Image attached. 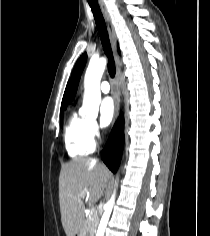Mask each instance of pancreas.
Listing matches in <instances>:
<instances>
[{"label": "pancreas", "mask_w": 210, "mask_h": 236, "mask_svg": "<svg viewBox=\"0 0 210 236\" xmlns=\"http://www.w3.org/2000/svg\"><path fill=\"white\" fill-rule=\"evenodd\" d=\"M97 224H98L97 218L88 217L84 222V228H83V233L85 234V236H93L97 228Z\"/></svg>", "instance_id": "cf45deb5"}]
</instances>
